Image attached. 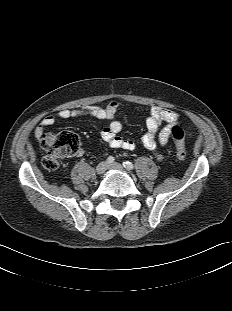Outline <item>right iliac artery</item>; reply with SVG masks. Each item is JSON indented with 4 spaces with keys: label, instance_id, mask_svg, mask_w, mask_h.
I'll return each instance as SVG.
<instances>
[{
    "label": "right iliac artery",
    "instance_id": "82829eb1",
    "mask_svg": "<svg viewBox=\"0 0 232 311\" xmlns=\"http://www.w3.org/2000/svg\"><path fill=\"white\" fill-rule=\"evenodd\" d=\"M114 157H112V156H109L108 158H107V162L109 163V164H111V163H113L114 162Z\"/></svg>",
    "mask_w": 232,
    "mask_h": 311
}]
</instances>
